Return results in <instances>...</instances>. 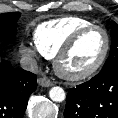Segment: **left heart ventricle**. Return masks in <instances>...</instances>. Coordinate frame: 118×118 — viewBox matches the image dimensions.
Returning <instances> with one entry per match:
<instances>
[{
    "mask_svg": "<svg viewBox=\"0 0 118 118\" xmlns=\"http://www.w3.org/2000/svg\"><path fill=\"white\" fill-rule=\"evenodd\" d=\"M105 47V37L100 30L85 33L72 50L63 58L64 70L77 73L92 67L101 57Z\"/></svg>",
    "mask_w": 118,
    "mask_h": 118,
    "instance_id": "1",
    "label": "left heart ventricle"
}]
</instances>
